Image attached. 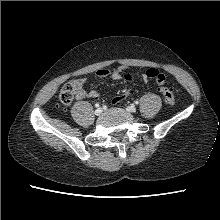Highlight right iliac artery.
I'll return each instance as SVG.
<instances>
[{
	"instance_id": "obj_1",
	"label": "right iliac artery",
	"mask_w": 220,
	"mask_h": 220,
	"mask_svg": "<svg viewBox=\"0 0 220 220\" xmlns=\"http://www.w3.org/2000/svg\"><path fill=\"white\" fill-rule=\"evenodd\" d=\"M95 107H99V103H96V104H95Z\"/></svg>"
}]
</instances>
